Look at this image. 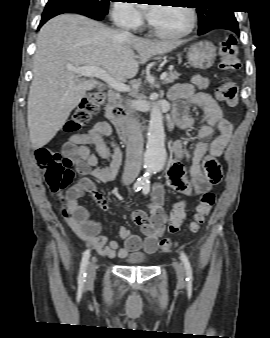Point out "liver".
Masks as SVG:
<instances>
[{
	"label": "liver",
	"instance_id": "6515ba94",
	"mask_svg": "<svg viewBox=\"0 0 270 338\" xmlns=\"http://www.w3.org/2000/svg\"><path fill=\"white\" fill-rule=\"evenodd\" d=\"M36 44L27 105L33 149L50 142L86 92L98 84L94 79H80L67 70L68 66L99 67L122 83L136 76L140 64L169 53L182 41L126 37L84 16L65 14L49 20L40 29Z\"/></svg>",
	"mask_w": 270,
	"mask_h": 338
}]
</instances>
